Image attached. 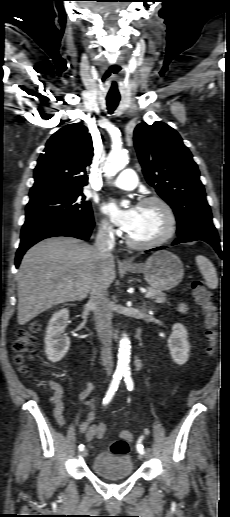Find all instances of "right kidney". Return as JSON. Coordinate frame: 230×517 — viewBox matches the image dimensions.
Returning a JSON list of instances; mask_svg holds the SVG:
<instances>
[{"label": "right kidney", "instance_id": "obj_1", "mask_svg": "<svg viewBox=\"0 0 230 517\" xmlns=\"http://www.w3.org/2000/svg\"><path fill=\"white\" fill-rule=\"evenodd\" d=\"M68 318L69 310L61 309L52 315L46 329L45 353L53 363L60 361L69 350L70 338L64 334Z\"/></svg>", "mask_w": 230, "mask_h": 517}]
</instances>
